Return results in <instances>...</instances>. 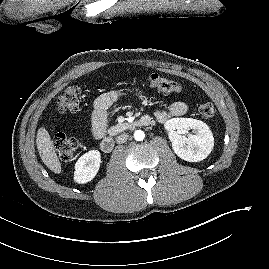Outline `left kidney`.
I'll return each mask as SVG.
<instances>
[{
    "label": "left kidney",
    "mask_w": 269,
    "mask_h": 269,
    "mask_svg": "<svg viewBox=\"0 0 269 269\" xmlns=\"http://www.w3.org/2000/svg\"><path fill=\"white\" fill-rule=\"evenodd\" d=\"M173 151L188 162H199L207 158L214 147V138L208 125L192 118H172L165 123ZM193 129L195 134L182 135Z\"/></svg>",
    "instance_id": "obj_1"
}]
</instances>
